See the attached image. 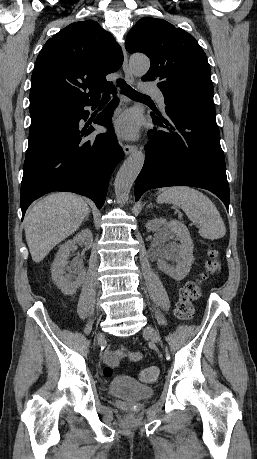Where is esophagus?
<instances>
[{"label": "esophagus", "mask_w": 257, "mask_h": 459, "mask_svg": "<svg viewBox=\"0 0 257 459\" xmlns=\"http://www.w3.org/2000/svg\"><path fill=\"white\" fill-rule=\"evenodd\" d=\"M123 72L125 75V79L128 83L132 84L134 82V77L133 74L129 68L128 65V56L125 48L123 47V64H122ZM137 150L136 145L133 144H124L123 145V151L125 155H129L131 153H134Z\"/></svg>", "instance_id": "1"}]
</instances>
